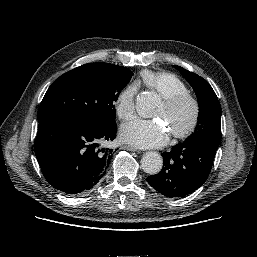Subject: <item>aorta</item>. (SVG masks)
I'll return each mask as SVG.
<instances>
[{"label":"aorta","instance_id":"1","mask_svg":"<svg viewBox=\"0 0 257 257\" xmlns=\"http://www.w3.org/2000/svg\"><path fill=\"white\" fill-rule=\"evenodd\" d=\"M159 103V96L152 91H145L136 99V110L142 117H148ZM163 166L162 156L155 151L146 152L141 159L144 172L154 175L160 172Z\"/></svg>","mask_w":257,"mask_h":257}]
</instances>
